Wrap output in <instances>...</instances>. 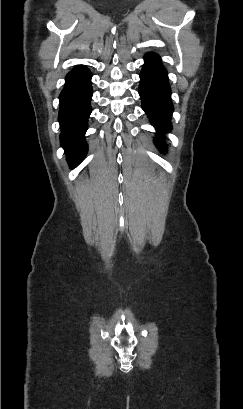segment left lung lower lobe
<instances>
[{
  "label": "left lung lower lobe",
  "mask_w": 243,
  "mask_h": 409,
  "mask_svg": "<svg viewBox=\"0 0 243 409\" xmlns=\"http://www.w3.org/2000/svg\"><path fill=\"white\" fill-rule=\"evenodd\" d=\"M144 59L139 87L142 108L158 132H168L171 129L173 105L167 71L161 64L159 56L148 53ZM155 143L160 150L165 151L166 146L160 134Z\"/></svg>",
  "instance_id": "obj_1"
}]
</instances>
